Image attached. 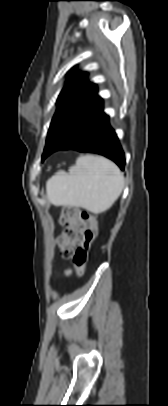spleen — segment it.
<instances>
[{"label": "spleen", "instance_id": "obj_1", "mask_svg": "<svg viewBox=\"0 0 168 406\" xmlns=\"http://www.w3.org/2000/svg\"><path fill=\"white\" fill-rule=\"evenodd\" d=\"M123 188L124 178L117 165L95 155L80 156L69 172L58 171L46 183L50 203L81 207L94 214L108 210Z\"/></svg>", "mask_w": 168, "mask_h": 406}]
</instances>
